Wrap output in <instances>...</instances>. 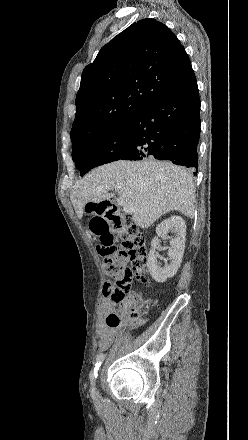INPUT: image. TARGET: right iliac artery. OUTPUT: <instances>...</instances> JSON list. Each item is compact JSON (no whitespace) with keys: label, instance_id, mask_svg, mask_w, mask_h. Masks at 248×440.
Wrapping results in <instances>:
<instances>
[{"label":"right iliac artery","instance_id":"82829eb1","mask_svg":"<svg viewBox=\"0 0 248 440\" xmlns=\"http://www.w3.org/2000/svg\"><path fill=\"white\" fill-rule=\"evenodd\" d=\"M105 356L106 355L104 353H100L97 355L94 370L90 372V379L92 382H94L96 380L97 371H98L100 365L102 364V362L104 361Z\"/></svg>","mask_w":248,"mask_h":440}]
</instances>
